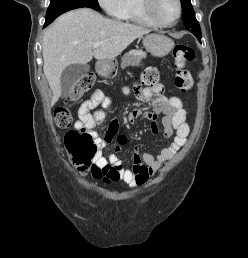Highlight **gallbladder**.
Returning a JSON list of instances; mask_svg holds the SVG:
<instances>
[{"label": "gallbladder", "mask_w": 248, "mask_h": 258, "mask_svg": "<svg viewBox=\"0 0 248 258\" xmlns=\"http://www.w3.org/2000/svg\"><path fill=\"white\" fill-rule=\"evenodd\" d=\"M90 70L88 64H71L61 73V97L70 95L74 85Z\"/></svg>", "instance_id": "1"}]
</instances>
